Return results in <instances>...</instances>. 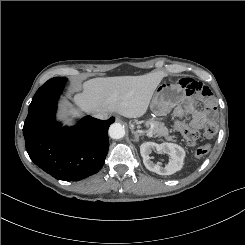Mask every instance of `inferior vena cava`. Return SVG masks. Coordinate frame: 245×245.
Listing matches in <instances>:
<instances>
[{
  "instance_id": "1",
  "label": "inferior vena cava",
  "mask_w": 245,
  "mask_h": 245,
  "mask_svg": "<svg viewBox=\"0 0 245 245\" xmlns=\"http://www.w3.org/2000/svg\"><path fill=\"white\" fill-rule=\"evenodd\" d=\"M93 116L95 118H98V119H101V120H105V119L108 118V113H106V112H97V113L93 114Z\"/></svg>"
}]
</instances>
